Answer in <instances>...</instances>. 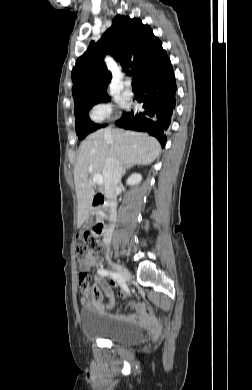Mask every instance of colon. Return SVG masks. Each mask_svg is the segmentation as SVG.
I'll return each mask as SVG.
<instances>
[{"label":"colon","mask_w":252,"mask_h":390,"mask_svg":"<svg viewBox=\"0 0 252 390\" xmlns=\"http://www.w3.org/2000/svg\"><path fill=\"white\" fill-rule=\"evenodd\" d=\"M100 251V243L98 233L95 230L89 231L83 236L79 237L76 241V257L80 264L88 261L94 257ZM80 279L83 282L84 292L91 295L95 300L98 298V294L89 288L87 284L88 275L85 272L80 274Z\"/></svg>","instance_id":"obj_1"}]
</instances>
